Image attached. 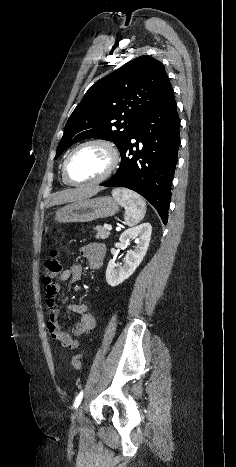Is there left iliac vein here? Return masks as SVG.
Segmentation results:
<instances>
[{"label": "left iliac vein", "instance_id": "4c4485c4", "mask_svg": "<svg viewBox=\"0 0 236 467\" xmlns=\"http://www.w3.org/2000/svg\"><path fill=\"white\" fill-rule=\"evenodd\" d=\"M83 423V405H81L73 416V425L80 426Z\"/></svg>", "mask_w": 236, "mask_h": 467}]
</instances>
